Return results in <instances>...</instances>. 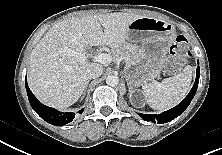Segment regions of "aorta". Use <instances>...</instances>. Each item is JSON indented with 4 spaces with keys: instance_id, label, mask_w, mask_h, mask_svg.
I'll list each match as a JSON object with an SVG mask.
<instances>
[{
    "instance_id": "1",
    "label": "aorta",
    "mask_w": 222,
    "mask_h": 155,
    "mask_svg": "<svg viewBox=\"0 0 222 155\" xmlns=\"http://www.w3.org/2000/svg\"><path fill=\"white\" fill-rule=\"evenodd\" d=\"M106 83L109 86H116L119 83V77L117 75H109L106 78Z\"/></svg>"
}]
</instances>
